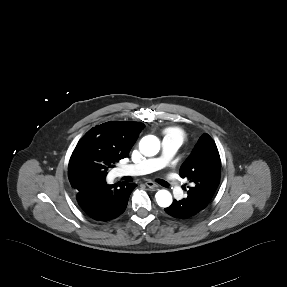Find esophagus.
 <instances>
[{
	"label": "esophagus",
	"instance_id": "obj_1",
	"mask_svg": "<svg viewBox=\"0 0 287 287\" xmlns=\"http://www.w3.org/2000/svg\"><path fill=\"white\" fill-rule=\"evenodd\" d=\"M145 184H146L147 187L152 188V189H157L158 188V185H156L152 181H147Z\"/></svg>",
	"mask_w": 287,
	"mask_h": 287
}]
</instances>
